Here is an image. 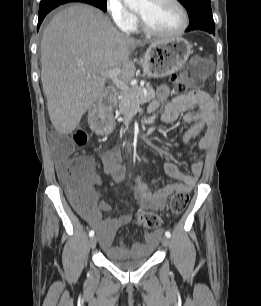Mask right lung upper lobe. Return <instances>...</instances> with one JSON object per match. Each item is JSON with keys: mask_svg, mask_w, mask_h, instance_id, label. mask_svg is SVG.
Returning a JSON list of instances; mask_svg holds the SVG:
<instances>
[{"mask_svg": "<svg viewBox=\"0 0 261 306\" xmlns=\"http://www.w3.org/2000/svg\"><path fill=\"white\" fill-rule=\"evenodd\" d=\"M54 1H59V0H54ZM68 1H71V2H83V3H85V0H68Z\"/></svg>", "mask_w": 261, "mask_h": 306, "instance_id": "right-lung-upper-lobe-1", "label": "right lung upper lobe"}]
</instances>
